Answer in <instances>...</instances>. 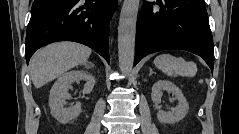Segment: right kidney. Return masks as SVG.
Wrapping results in <instances>:
<instances>
[{"mask_svg": "<svg viewBox=\"0 0 239 134\" xmlns=\"http://www.w3.org/2000/svg\"><path fill=\"white\" fill-rule=\"evenodd\" d=\"M81 80L85 81L83 94H89L94 88L95 79L92 74L83 70H72L62 74L50 90L49 106L51 114L61 123H68L81 112L80 103L68 108L65 107V100L70 97L68 90L72 88V83Z\"/></svg>", "mask_w": 239, "mask_h": 134, "instance_id": "right-kidney-1", "label": "right kidney"}]
</instances>
